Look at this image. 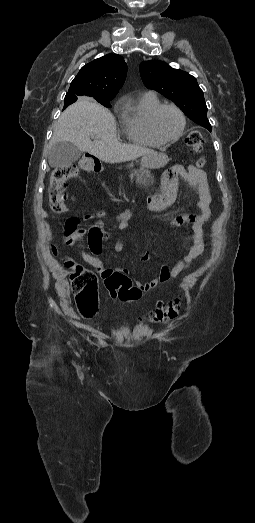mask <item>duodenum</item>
<instances>
[{
  "label": "duodenum",
  "instance_id": "1",
  "mask_svg": "<svg viewBox=\"0 0 255 523\" xmlns=\"http://www.w3.org/2000/svg\"><path fill=\"white\" fill-rule=\"evenodd\" d=\"M80 167L87 172H99L101 170V162L95 155L86 154L80 160Z\"/></svg>",
  "mask_w": 255,
  "mask_h": 523
}]
</instances>
